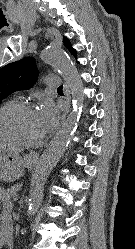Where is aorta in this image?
<instances>
[{"label":"aorta","instance_id":"obj_1","mask_svg":"<svg viewBox=\"0 0 135 249\" xmlns=\"http://www.w3.org/2000/svg\"><path fill=\"white\" fill-rule=\"evenodd\" d=\"M41 55L45 62L60 70L67 81L73 99V110L41 156L36 173L31 180L28 215L34 213L40 206L47 178L64 154L77 129L84 100L83 83L77 68L66 53L61 48L50 46L44 49Z\"/></svg>","mask_w":135,"mask_h":249}]
</instances>
